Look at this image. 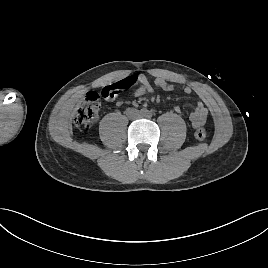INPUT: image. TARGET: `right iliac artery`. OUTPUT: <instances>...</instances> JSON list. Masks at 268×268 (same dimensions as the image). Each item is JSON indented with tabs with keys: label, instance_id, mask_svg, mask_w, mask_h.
<instances>
[{
	"label": "right iliac artery",
	"instance_id": "82829eb1",
	"mask_svg": "<svg viewBox=\"0 0 268 268\" xmlns=\"http://www.w3.org/2000/svg\"><path fill=\"white\" fill-rule=\"evenodd\" d=\"M140 113L142 115H146L148 113V110L146 108H141Z\"/></svg>",
	"mask_w": 268,
	"mask_h": 268
}]
</instances>
